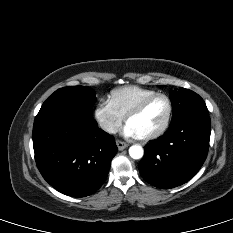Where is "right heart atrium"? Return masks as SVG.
<instances>
[{
  "mask_svg": "<svg viewBox=\"0 0 233 233\" xmlns=\"http://www.w3.org/2000/svg\"><path fill=\"white\" fill-rule=\"evenodd\" d=\"M94 117L99 126L108 134H115L123 122V117L118 114L109 101H102L96 106Z\"/></svg>",
  "mask_w": 233,
  "mask_h": 233,
  "instance_id": "right-heart-atrium-1",
  "label": "right heart atrium"
}]
</instances>
